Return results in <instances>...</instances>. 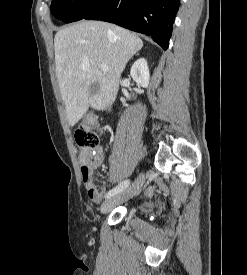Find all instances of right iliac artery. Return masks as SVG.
Here are the masks:
<instances>
[{"label": "right iliac artery", "mask_w": 247, "mask_h": 275, "mask_svg": "<svg viewBox=\"0 0 247 275\" xmlns=\"http://www.w3.org/2000/svg\"><path fill=\"white\" fill-rule=\"evenodd\" d=\"M129 183V180L122 181L118 186H116L106 194V198H110L111 196L118 194L119 192L124 190L129 185Z\"/></svg>", "instance_id": "obj_1"}]
</instances>
